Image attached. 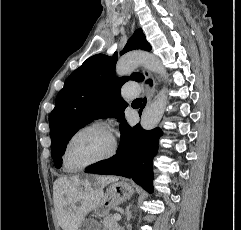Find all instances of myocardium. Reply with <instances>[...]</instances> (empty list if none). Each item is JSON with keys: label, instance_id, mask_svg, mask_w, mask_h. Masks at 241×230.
Masks as SVG:
<instances>
[{"label": "myocardium", "instance_id": "f54148a6", "mask_svg": "<svg viewBox=\"0 0 241 230\" xmlns=\"http://www.w3.org/2000/svg\"><path fill=\"white\" fill-rule=\"evenodd\" d=\"M93 128H98V129L105 130L106 132H108L110 134V136L112 138V146H111L110 151L107 154H105L104 156L100 157V158L94 159L92 161H89V162L84 163V164H82L80 166H77V167H72L69 164L68 159H67L68 150H69L71 142L81 132H83L85 130L93 129ZM117 152H118V142H117L116 138L114 137L111 129L109 128V126L105 122H103V121H93V122H90V123H87V124L83 125L82 127L77 129L69 137V139L67 140V142L65 144L64 150H63L62 159H63V163H64L65 167L67 168V170H69V171H79V170L88 168L90 166L106 162V161L112 159L117 154Z\"/></svg>", "mask_w": 241, "mask_h": 230}]
</instances>
